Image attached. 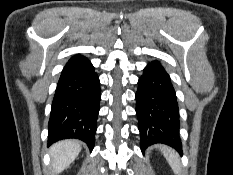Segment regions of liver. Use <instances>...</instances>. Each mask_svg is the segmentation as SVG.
<instances>
[{
	"instance_id": "1",
	"label": "liver",
	"mask_w": 233,
	"mask_h": 175,
	"mask_svg": "<svg viewBox=\"0 0 233 175\" xmlns=\"http://www.w3.org/2000/svg\"><path fill=\"white\" fill-rule=\"evenodd\" d=\"M81 151L80 142L77 140H63L50 147L52 167L55 173L64 171L78 156Z\"/></svg>"
}]
</instances>
